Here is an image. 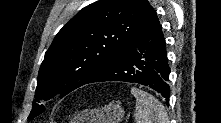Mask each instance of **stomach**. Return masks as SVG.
Masks as SVG:
<instances>
[{"label":"stomach","instance_id":"1","mask_svg":"<svg viewBox=\"0 0 221 123\" xmlns=\"http://www.w3.org/2000/svg\"><path fill=\"white\" fill-rule=\"evenodd\" d=\"M124 114L119 103H110L99 109L82 111L71 123H120Z\"/></svg>","mask_w":221,"mask_h":123}]
</instances>
